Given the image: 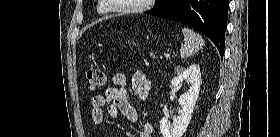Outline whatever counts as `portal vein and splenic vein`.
<instances>
[{"label": "portal vein and splenic vein", "instance_id": "18ae733b", "mask_svg": "<svg viewBox=\"0 0 280 137\" xmlns=\"http://www.w3.org/2000/svg\"><path fill=\"white\" fill-rule=\"evenodd\" d=\"M169 57H170V54L167 53V54L165 55V58L168 59Z\"/></svg>", "mask_w": 280, "mask_h": 137}]
</instances>
